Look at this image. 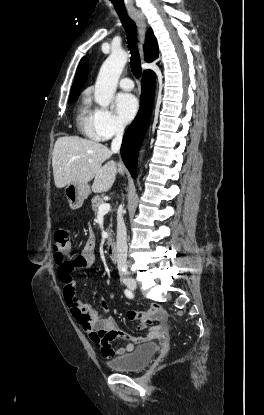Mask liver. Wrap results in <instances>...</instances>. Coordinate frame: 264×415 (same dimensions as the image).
Returning <instances> with one entry per match:
<instances>
[{
	"label": "liver",
	"mask_w": 264,
	"mask_h": 415,
	"mask_svg": "<svg viewBox=\"0 0 264 415\" xmlns=\"http://www.w3.org/2000/svg\"><path fill=\"white\" fill-rule=\"evenodd\" d=\"M112 151L105 145L77 136L57 139L53 149L52 167L57 188L70 183L87 184L94 179L95 193L107 192L112 187L116 174L122 172L120 164L111 160Z\"/></svg>",
	"instance_id": "6515ba94"
}]
</instances>
